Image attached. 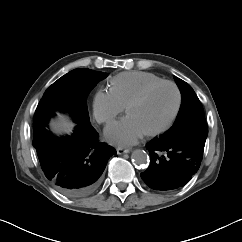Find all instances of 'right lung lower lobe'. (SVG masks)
Instances as JSON below:
<instances>
[{
  "mask_svg": "<svg viewBox=\"0 0 242 242\" xmlns=\"http://www.w3.org/2000/svg\"><path fill=\"white\" fill-rule=\"evenodd\" d=\"M33 147L50 183L70 197L91 194L100 182L108 159L116 153L88 123H76L71 135L57 137L47 125L33 129Z\"/></svg>",
  "mask_w": 242,
  "mask_h": 242,
  "instance_id": "98d812e1",
  "label": "right lung lower lobe"
}]
</instances>
